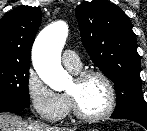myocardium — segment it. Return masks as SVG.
I'll use <instances>...</instances> for the list:
<instances>
[{"instance_id": "1", "label": "myocardium", "mask_w": 147, "mask_h": 131, "mask_svg": "<svg viewBox=\"0 0 147 131\" xmlns=\"http://www.w3.org/2000/svg\"><path fill=\"white\" fill-rule=\"evenodd\" d=\"M92 76L99 77L105 83L106 88L108 90V97H109L108 104L102 112H100L98 114H94V115L85 114L80 109L75 96L73 94L67 92V96L69 98L70 105H71V108H72L74 115L78 119H80L82 121H86V122H94V121L102 120V119L108 117L113 112V110L116 106V101H117L115 86H114L112 80L110 79V77L106 73H104L103 71L98 70V69L82 70V71H79L75 74L74 79L76 81L80 82V81H83L86 78L92 77Z\"/></svg>"}]
</instances>
